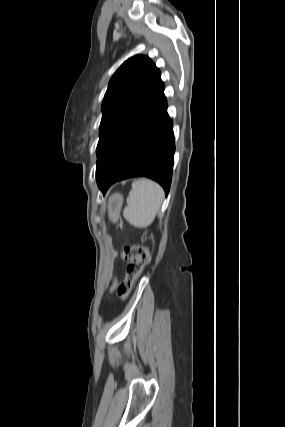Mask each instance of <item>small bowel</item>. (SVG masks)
<instances>
[{
	"label": "small bowel",
	"mask_w": 285,
	"mask_h": 427,
	"mask_svg": "<svg viewBox=\"0 0 285 427\" xmlns=\"http://www.w3.org/2000/svg\"><path fill=\"white\" fill-rule=\"evenodd\" d=\"M117 288V281L114 282L112 290H115Z\"/></svg>",
	"instance_id": "c3829d8e"
}]
</instances>
